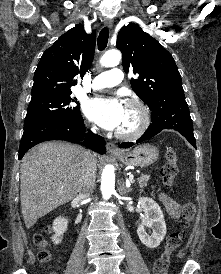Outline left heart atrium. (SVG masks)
<instances>
[{"mask_svg": "<svg viewBox=\"0 0 221 274\" xmlns=\"http://www.w3.org/2000/svg\"><path fill=\"white\" fill-rule=\"evenodd\" d=\"M124 109L117 98H92L84 106L86 116L107 130L120 127Z\"/></svg>", "mask_w": 221, "mask_h": 274, "instance_id": "left-heart-atrium-1", "label": "left heart atrium"}]
</instances>
